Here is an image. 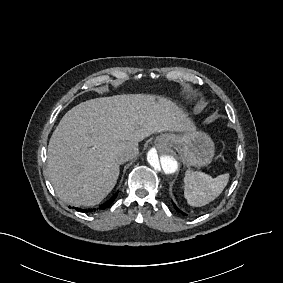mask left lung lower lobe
Masks as SVG:
<instances>
[{"label": "left lung lower lobe", "mask_w": 283, "mask_h": 283, "mask_svg": "<svg viewBox=\"0 0 283 283\" xmlns=\"http://www.w3.org/2000/svg\"><path fill=\"white\" fill-rule=\"evenodd\" d=\"M173 205H174V207H175V209L178 211V212H180V210L175 206V204L173 203Z\"/></svg>", "instance_id": "obj_1"}]
</instances>
